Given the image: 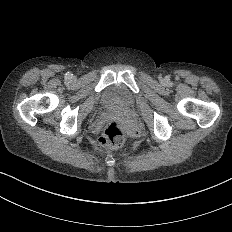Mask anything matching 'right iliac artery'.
Segmentation results:
<instances>
[{
    "label": "right iliac artery",
    "mask_w": 232,
    "mask_h": 232,
    "mask_svg": "<svg viewBox=\"0 0 232 232\" xmlns=\"http://www.w3.org/2000/svg\"><path fill=\"white\" fill-rule=\"evenodd\" d=\"M72 75H73V74H71L70 72H67V73L65 74V78H66V79H71V78H72Z\"/></svg>",
    "instance_id": "1"
}]
</instances>
